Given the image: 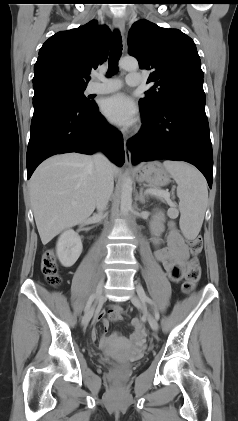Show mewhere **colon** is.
Instances as JSON below:
<instances>
[{
  "label": "colon",
  "instance_id": "1",
  "mask_svg": "<svg viewBox=\"0 0 238 421\" xmlns=\"http://www.w3.org/2000/svg\"><path fill=\"white\" fill-rule=\"evenodd\" d=\"M191 251L194 255L200 253L202 249V239L199 236L188 239ZM42 272L47 281L53 285H59L61 278L59 275V267L53 251H47L42 258ZM201 277V267L196 257L192 258L186 268L185 281L182 285L184 293L192 292Z\"/></svg>",
  "mask_w": 238,
  "mask_h": 421
}]
</instances>
